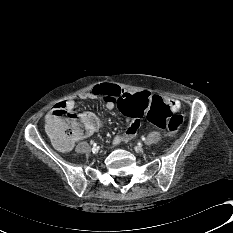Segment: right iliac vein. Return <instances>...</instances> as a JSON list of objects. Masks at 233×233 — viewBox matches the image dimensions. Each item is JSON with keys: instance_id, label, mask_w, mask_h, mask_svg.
<instances>
[{"instance_id": "obj_1", "label": "right iliac vein", "mask_w": 233, "mask_h": 233, "mask_svg": "<svg viewBox=\"0 0 233 233\" xmlns=\"http://www.w3.org/2000/svg\"><path fill=\"white\" fill-rule=\"evenodd\" d=\"M92 152H94V153H97L98 152V149L97 148H92Z\"/></svg>"}]
</instances>
